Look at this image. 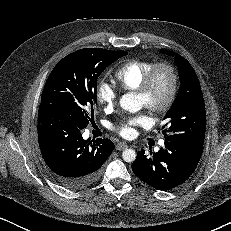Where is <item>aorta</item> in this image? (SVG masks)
<instances>
[{
  "instance_id": "1",
  "label": "aorta",
  "mask_w": 231,
  "mask_h": 231,
  "mask_svg": "<svg viewBox=\"0 0 231 231\" xmlns=\"http://www.w3.org/2000/svg\"><path fill=\"white\" fill-rule=\"evenodd\" d=\"M122 109L129 112H137L141 109V103L135 93H126L120 99ZM122 158L125 162L131 163L136 159V152L133 149H125L122 153Z\"/></svg>"
}]
</instances>
